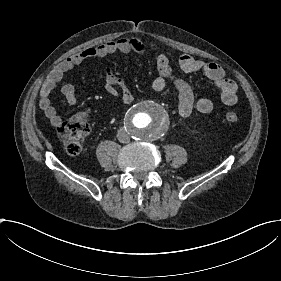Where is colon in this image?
I'll return each mask as SVG.
<instances>
[{"instance_id": "obj_1", "label": "colon", "mask_w": 281, "mask_h": 281, "mask_svg": "<svg viewBox=\"0 0 281 281\" xmlns=\"http://www.w3.org/2000/svg\"><path fill=\"white\" fill-rule=\"evenodd\" d=\"M223 120L227 124L237 125L240 122V113L236 110H227L223 115ZM88 132V124L82 119L69 120L59 130L61 140L70 153L81 151L82 141Z\"/></svg>"}]
</instances>
